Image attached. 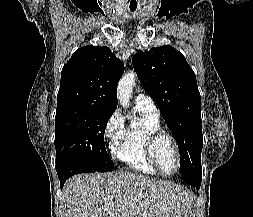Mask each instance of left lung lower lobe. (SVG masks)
Here are the masks:
<instances>
[{
	"instance_id": "obj_1",
	"label": "left lung lower lobe",
	"mask_w": 253,
	"mask_h": 217,
	"mask_svg": "<svg viewBox=\"0 0 253 217\" xmlns=\"http://www.w3.org/2000/svg\"><path fill=\"white\" fill-rule=\"evenodd\" d=\"M191 186H193L195 189H199L200 188V184H201V179L196 180V181H192L191 183H189Z\"/></svg>"
}]
</instances>
